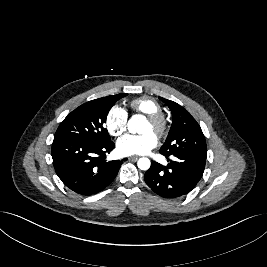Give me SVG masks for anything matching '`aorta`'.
Wrapping results in <instances>:
<instances>
[{"label": "aorta", "mask_w": 267, "mask_h": 267, "mask_svg": "<svg viewBox=\"0 0 267 267\" xmlns=\"http://www.w3.org/2000/svg\"><path fill=\"white\" fill-rule=\"evenodd\" d=\"M144 120L143 116L141 115H134L128 121V130L131 133L140 132V123ZM137 166L141 170H148L151 166V162L148 158H140L137 162Z\"/></svg>", "instance_id": "obj_1"}]
</instances>
